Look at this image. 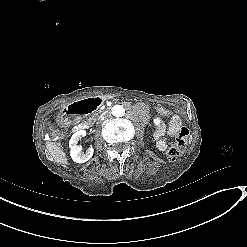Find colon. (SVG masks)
I'll use <instances>...</instances> for the list:
<instances>
[{"instance_id":"obj_1","label":"colon","mask_w":247,"mask_h":247,"mask_svg":"<svg viewBox=\"0 0 247 247\" xmlns=\"http://www.w3.org/2000/svg\"><path fill=\"white\" fill-rule=\"evenodd\" d=\"M148 106H151V103H148ZM155 111L156 113L161 116L165 117L169 115V110L162 104H155ZM50 126L54 130H62V127L57 124L55 121H51ZM189 140V130L187 127H181L179 132L174 138V141L171 142L166 149V156L169 160L173 161L178 158L184 147L187 145Z\"/></svg>"}]
</instances>
